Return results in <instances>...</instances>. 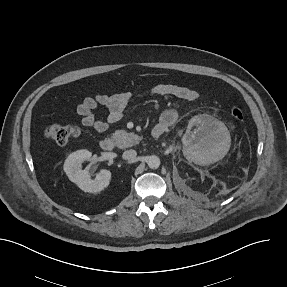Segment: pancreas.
Returning a JSON list of instances; mask_svg holds the SVG:
<instances>
[{
	"label": "pancreas",
	"instance_id": "1",
	"mask_svg": "<svg viewBox=\"0 0 287 287\" xmlns=\"http://www.w3.org/2000/svg\"><path fill=\"white\" fill-rule=\"evenodd\" d=\"M118 148L125 149L139 143L140 137L134 133H128L125 130H116L113 135Z\"/></svg>",
	"mask_w": 287,
	"mask_h": 287
}]
</instances>
